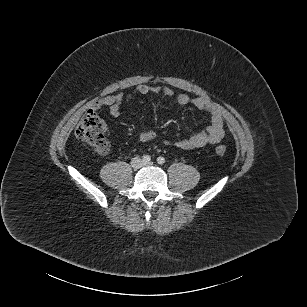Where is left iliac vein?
<instances>
[{
	"mask_svg": "<svg viewBox=\"0 0 307 307\" xmlns=\"http://www.w3.org/2000/svg\"><path fill=\"white\" fill-rule=\"evenodd\" d=\"M143 165H144V166H151V165H153V163H152V162H149V163H143Z\"/></svg>",
	"mask_w": 307,
	"mask_h": 307,
	"instance_id": "obj_1",
	"label": "left iliac vein"
}]
</instances>
